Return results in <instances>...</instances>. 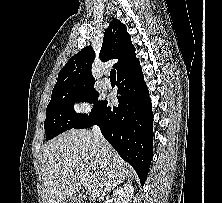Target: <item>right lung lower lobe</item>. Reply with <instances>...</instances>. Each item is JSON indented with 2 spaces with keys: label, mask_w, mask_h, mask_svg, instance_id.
<instances>
[{
  "label": "right lung lower lobe",
  "mask_w": 222,
  "mask_h": 203,
  "mask_svg": "<svg viewBox=\"0 0 222 203\" xmlns=\"http://www.w3.org/2000/svg\"><path fill=\"white\" fill-rule=\"evenodd\" d=\"M118 107L106 100L74 128L98 125L105 139L128 162L144 185L153 156V114L139 64L117 75Z\"/></svg>",
  "instance_id": "right-lung-lower-lobe-1"
}]
</instances>
